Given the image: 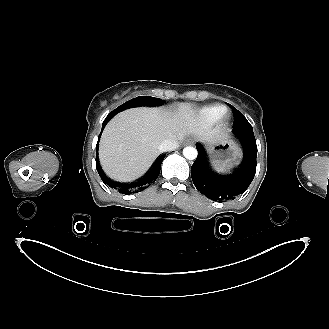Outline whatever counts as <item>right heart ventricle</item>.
<instances>
[{"mask_svg": "<svg viewBox=\"0 0 329 329\" xmlns=\"http://www.w3.org/2000/svg\"><path fill=\"white\" fill-rule=\"evenodd\" d=\"M224 107L212 106L200 111V117L206 122H212L219 119L224 114Z\"/></svg>", "mask_w": 329, "mask_h": 329, "instance_id": "right-heart-ventricle-1", "label": "right heart ventricle"}]
</instances>
